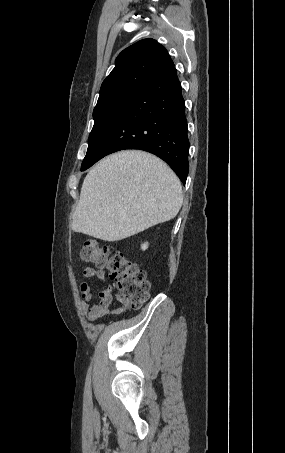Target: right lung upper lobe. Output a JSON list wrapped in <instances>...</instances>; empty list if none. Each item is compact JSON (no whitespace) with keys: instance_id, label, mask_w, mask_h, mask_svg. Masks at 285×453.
I'll list each match as a JSON object with an SVG mask.
<instances>
[{"instance_id":"cb5924a9","label":"right lung upper lobe","mask_w":285,"mask_h":453,"mask_svg":"<svg viewBox=\"0 0 285 453\" xmlns=\"http://www.w3.org/2000/svg\"><path fill=\"white\" fill-rule=\"evenodd\" d=\"M173 66L167 50L156 40L138 41L116 58L115 68L102 83L97 105L136 92L150 79Z\"/></svg>"}]
</instances>
